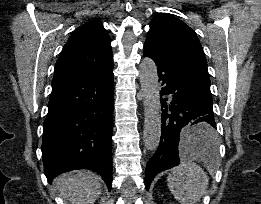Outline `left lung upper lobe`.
I'll return each instance as SVG.
<instances>
[{"label": "left lung upper lobe", "instance_id": "left-lung-upper-lobe-1", "mask_svg": "<svg viewBox=\"0 0 261 204\" xmlns=\"http://www.w3.org/2000/svg\"><path fill=\"white\" fill-rule=\"evenodd\" d=\"M145 43L181 59L209 77L199 39L183 21L169 14L154 17Z\"/></svg>", "mask_w": 261, "mask_h": 204}]
</instances>
